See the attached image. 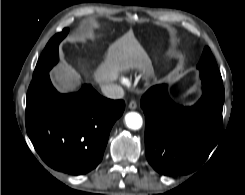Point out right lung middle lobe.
<instances>
[{
  "instance_id": "dd1d6c3e",
  "label": "right lung middle lobe",
  "mask_w": 245,
  "mask_h": 195,
  "mask_svg": "<svg viewBox=\"0 0 245 195\" xmlns=\"http://www.w3.org/2000/svg\"><path fill=\"white\" fill-rule=\"evenodd\" d=\"M68 31L66 28L50 39L37 62L33 79L48 74L49 70L58 62V45L67 35Z\"/></svg>"
}]
</instances>
